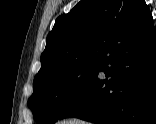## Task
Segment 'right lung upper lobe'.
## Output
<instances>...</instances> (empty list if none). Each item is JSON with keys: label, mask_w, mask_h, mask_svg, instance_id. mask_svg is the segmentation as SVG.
<instances>
[{"label": "right lung upper lobe", "mask_w": 156, "mask_h": 124, "mask_svg": "<svg viewBox=\"0 0 156 124\" xmlns=\"http://www.w3.org/2000/svg\"><path fill=\"white\" fill-rule=\"evenodd\" d=\"M150 26L153 19L144 0H81L56 19L35 78L75 63L101 60L128 33Z\"/></svg>", "instance_id": "cb5924a9"}]
</instances>
